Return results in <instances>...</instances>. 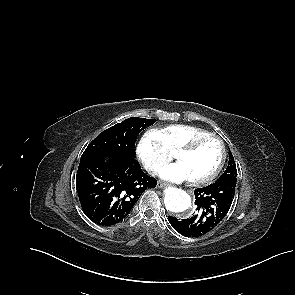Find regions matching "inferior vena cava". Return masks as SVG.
<instances>
[{
    "mask_svg": "<svg viewBox=\"0 0 295 295\" xmlns=\"http://www.w3.org/2000/svg\"><path fill=\"white\" fill-rule=\"evenodd\" d=\"M151 170L154 171V173H155V171H156L155 169H151Z\"/></svg>",
    "mask_w": 295,
    "mask_h": 295,
    "instance_id": "1",
    "label": "inferior vena cava"
}]
</instances>
